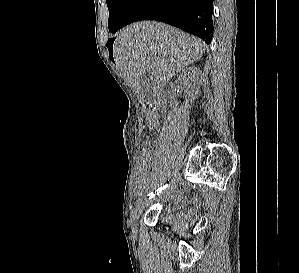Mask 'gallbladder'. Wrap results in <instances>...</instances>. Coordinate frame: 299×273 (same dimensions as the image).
Masks as SVG:
<instances>
[{"instance_id":"gallbladder-1","label":"gallbladder","mask_w":299,"mask_h":273,"mask_svg":"<svg viewBox=\"0 0 299 273\" xmlns=\"http://www.w3.org/2000/svg\"><path fill=\"white\" fill-rule=\"evenodd\" d=\"M141 85L144 90V93L146 94V96L148 98H153L156 96L154 93V90H153L154 79H153L152 73L150 71L146 70L143 73V76L141 79Z\"/></svg>"}]
</instances>
